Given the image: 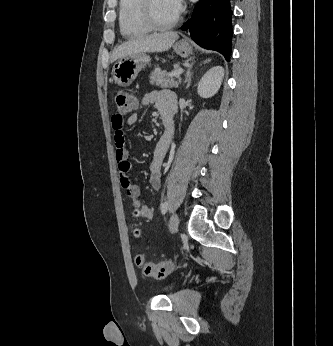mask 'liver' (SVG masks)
Instances as JSON below:
<instances>
[{"label": "liver", "instance_id": "6515ba94", "mask_svg": "<svg viewBox=\"0 0 333 346\" xmlns=\"http://www.w3.org/2000/svg\"><path fill=\"white\" fill-rule=\"evenodd\" d=\"M178 38L179 36L176 32H166L132 39L114 50L112 60L115 61L138 53L167 51Z\"/></svg>", "mask_w": 333, "mask_h": 346}]
</instances>
